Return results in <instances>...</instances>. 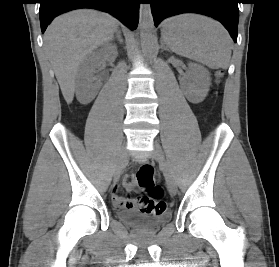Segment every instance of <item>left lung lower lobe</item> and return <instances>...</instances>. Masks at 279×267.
<instances>
[{
    "mask_svg": "<svg viewBox=\"0 0 279 267\" xmlns=\"http://www.w3.org/2000/svg\"><path fill=\"white\" fill-rule=\"evenodd\" d=\"M154 24L181 13H200L219 20L236 42L238 33V0H150Z\"/></svg>",
    "mask_w": 279,
    "mask_h": 267,
    "instance_id": "0a47b994",
    "label": "left lung lower lobe"
}]
</instances>
